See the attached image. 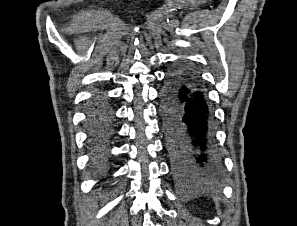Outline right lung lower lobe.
Returning a JSON list of instances; mask_svg holds the SVG:
<instances>
[{"label":"right lung lower lobe","mask_w":297,"mask_h":226,"mask_svg":"<svg viewBox=\"0 0 297 226\" xmlns=\"http://www.w3.org/2000/svg\"><path fill=\"white\" fill-rule=\"evenodd\" d=\"M88 143L92 151V163L98 172H103L108 160V147L114 136V114L109 98L98 92L90 100L86 110Z\"/></svg>","instance_id":"obj_1"}]
</instances>
